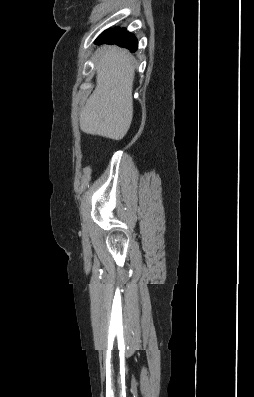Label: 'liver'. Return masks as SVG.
I'll return each instance as SVG.
<instances>
[{"label": "liver", "mask_w": 254, "mask_h": 397, "mask_svg": "<svg viewBox=\"0 0 254 397\" xmlns=\"http://www.w3.org/2000/svg\"><path fill=\"white\" fill-rule=\"evenodd\" d=\"M96 73V87L80 113V128L121 140L133 118V57L125 49L105 45L97 53Z\"/></svg>", "instance_id": "6515ba94"}]
</instances>
